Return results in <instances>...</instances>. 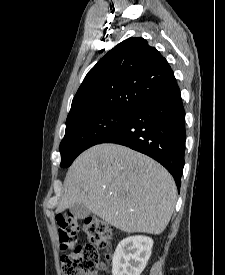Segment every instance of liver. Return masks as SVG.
I'll return each mask as SVG.
<instances>
[{"label": "liver", "mask_w": 225, "mask_h": 275, "mask_svg": "<svg viewBox=\"0 0 225 275\" xmlns=\"http://www.w3.org/2000/svg\"><path fill=\"white\" fill-rule=\"evenodd\" d=\"M174 179L148 156L118 144H97L80 154L64 181L61 213L83 203L121 231L161 234L175 208Z\"/></svg>", "instance_id": "6515ba94"}]
</instances>
